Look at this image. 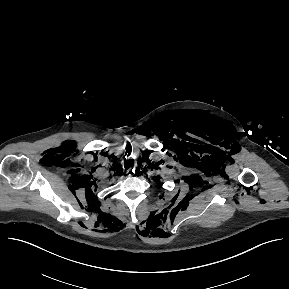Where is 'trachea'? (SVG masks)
Here are the masks:
<instances>
[{"label": "trachea", "mask_w": 289, "mask_h": 289, "mask_svg": "<svg viewBox=\"0 0 289 289\" xmlns=\"http://www.w3.org/2000/svg\"><path fill=\"white\" fill-rule=\"evenodd\" d=\"M130 166H131V165H128V166H127V169L130 168Z\"/></svg>", "instance_id": "1"}]
</instances>
